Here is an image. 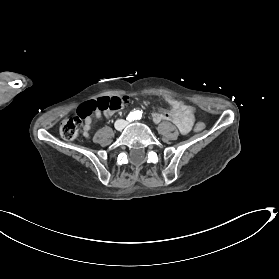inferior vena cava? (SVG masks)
I'll return each instance as SVG.
<instances>
[{
	"instance_id": "602c4592",
	"label": "inferior vena cava",
	"mask_w": 279,
	"mask_h": 279,
	"mask_svg": "<svg viewBox=\"0 0 279 279\" xmlns=\"http://www.w3.org/2000/svg\"><path fill=\"white\" fill-rule=\"evenodd\" d=\"M128 122L127 121H125V120H118V121H116L115 122V128L117 129V130H122V128L124 127V125L125 124H127Z\"/></svg>"
}]
</instances>
